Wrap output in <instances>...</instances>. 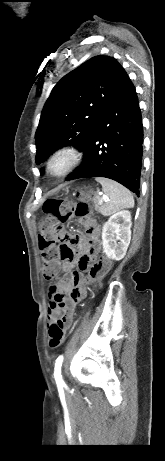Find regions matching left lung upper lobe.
<instances>
[{"instance_id":"1","label":"left lung upper lobe","mask_w":165,"mask_h":461,"mask_svg":"<svg viewBox=\"0 0 165 461\" xmlns=\"http://www.w3.org/2000/svg\"><path fill=\"white\" fill-rule=\"evenodd\" d=\"M126 77L115 58L101 55L65 75L53 88L41 113L35 134L36 164L65 145L83 149Z\"/></svg>"}]
</instances>
